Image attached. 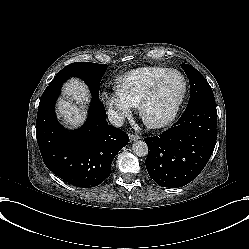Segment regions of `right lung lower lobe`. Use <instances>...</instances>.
<instances>
[{
	"label": "right lung lower lobe",
	"instance_id": "right-lung-lower-lobe-1",
	"mask_svg": "<svg viewBox=\"0 0 249 249\" xmlns=\"http://www.w3.org/2000/svg\"><path fill=\"white\" fill-rule=\"evenodd\" d=\"M61 85L49 84L38 107L36 137L47 168L72 185L90 188L110 175L114 157L128 143L126 133L106 121L99 99L92 98L87 122L75 131L57 121L54 104Z\"/></svg>",
	"mask_w": 249,
	"mask_h": 249
}]
</instances>
